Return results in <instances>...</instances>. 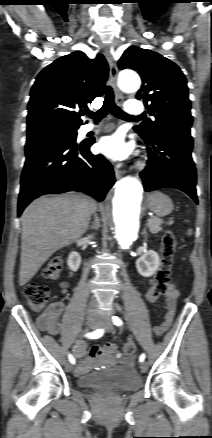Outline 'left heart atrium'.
<instances>
[{
	"label": "left heart atrium",
	"mask_w": 212,
	"mask_h": 438,
	"mask_svg": "<svg viewBox=\"0 0 212 438\" xmlns=\"http://www.w3.org/2000/svg\"><path fill=\"white\" fill-rule=\"evenodd\" d=\"M98 150L106 157L120 161L131 155L133 147L121 134L115 133L102 137L98 143Z\"/></svg>",
	"instance_id": "39dd6f15"
}]
</instances>
